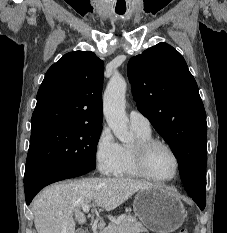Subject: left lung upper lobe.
Returning a JSON list of instances; mask_svg holds the SVG:
<instances>
[{
    "label": "left lung upper lobe",
    "instance_id": "obj_1",
    "mask_svg": "<svg viewBox=\"0 0 227 233\" xmlns=\"http://www.w3.org/2000/svg\"><path fill=\"white\" fill-rule=\"evenodd\" d=\"M128 77L139 111L177 158L185 190L205 198L206 113L184 58L161 42L130 59Z\"/></svg>",
    "mask_w": 227,
    "mask_h": 233
}]
</instances>
